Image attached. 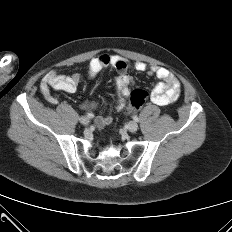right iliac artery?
<instances>
[{"label": "right iliac artery", "mask_w": 232, "mask_h": 232, "mask_svg": "<svg viewBox=\"0 0 232 232\" xmlns=\"http://www.w3.org/2000/svg\"><path fill=\"white\" fill-rule=\"evenodd\" d=\"M87 117H88V118H93V117H94V114H93V113H87Z\"/></svg>", "instance_id": "82829eb1"}]
</instances>
